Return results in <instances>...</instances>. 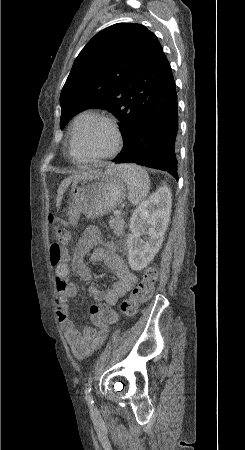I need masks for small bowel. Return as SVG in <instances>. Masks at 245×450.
<instances>
[{"label": "small bowel", "instance_id": "c3829d8e", "mask_svg": "<svg viewBox=\"0 0 245 450\" xmlns=\"http://www.w3.org/2000/svg\"><path fill=\"white\" fill-rule=\"evenodd\" d=\"M92 251L90 260L107 267L115 277L112 286L102 291L95 286L88 287L92 300L115 305L124 297L136 282V276L129 270L122 257L116 251L113 241L102 240L99 231L90 227L85 230L76 244L71 258L53 268L55 281L56 318L61 323L65 337L74 356L83 360L99 349L109 332L107 323L98 321L92 315L90 319L96 328L78 330L71 316L68 300L78 294L77 284L69 282L70 273L75 272L81 280H90L92 273L85 265L84 259Z\"/></svg>", "mask_w": 245, "mask_h": 450}]
</instances>
